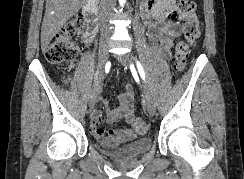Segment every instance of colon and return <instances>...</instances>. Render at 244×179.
<instances>
[{
  "instance_id": "5ec220e1",
  "label": "colon",
  "mask_w": 244,
  "mask_h": 179,
  "mask_svg": "<svg viewBox=\"0 0 244 179\" xmlns=\"http://www.w3.org/2000/svg\"><path fill=\"white\" fill-rule=\"evenodd\" d=\"M178 17L183 25V34L176 45L174 54V68L182 71L187 64V59L196 45L200 34L199 18L196 14L195 3L191 0H181L178 4ZM81 19H72L56 35L53 42L46 50V60L53 65L67 64L78 56L79 48L74 37L83 29ZM136 132L142 133L147 130V126L141 119L134 120Z\"/></svg>"
}]
</instances>
